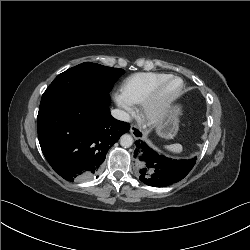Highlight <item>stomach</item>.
<instances>
[{"label":"stomach","mask_w":250,"mask_h":250,"mask_svg":"<svg viewBox=\"0 0 250 250\" xmlns=\"http://www.w3.org/2000/svg\"><path fill=\"white\" fill-rule=\"evenodd\" d=\"M180 106L171 107L156 127L157 134L165 139H172L178 131Z\"/></svg>","instance_id":"0dacf381"}]
</instances>
